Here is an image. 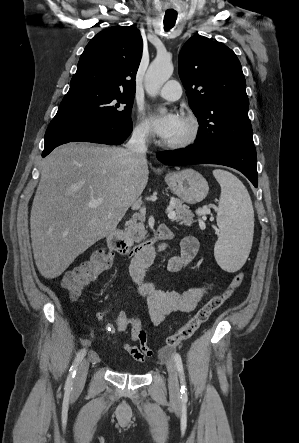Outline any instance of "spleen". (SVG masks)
<instances>
[{
    "label": "spleen",
    "mask_w": 299,
    "mask_h": 443,
    "mask_svg": "<svg viewBox=\"0 0 299 443\" xmlns=\"http://www.w3.org/2000/svg\"><path fill=\"white\" fill-rule=\"evenodd\" d=\"M221 186L217 224L220 235L214 247L218 265L227 272L239 270L249 255L254 230V211L249 193L230 172L214 170Z\"/></svg>",
    "instance_id": "1"
}]
</instances>
